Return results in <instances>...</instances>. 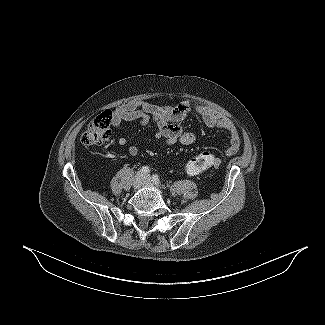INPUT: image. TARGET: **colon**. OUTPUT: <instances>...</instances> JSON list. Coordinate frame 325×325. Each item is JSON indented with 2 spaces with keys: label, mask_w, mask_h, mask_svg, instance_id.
<instances>
[{
  "label": "colon",
  "mask_w": 325,
  "mask_h": 325,
  "mask_svg": "<svg viewBox=\"0 0 325 325\" xmlns=\"http://www.w3.org/2000/svg\"><path fill=\"white\" fill-rule=\"evenodd\" d=\"M113 114L111 111H104L96 116L84 131L81 142L85 146H93L104 143L111 137V122ZM215 156L210 152H203L193 157L192 164L188 171L190 174H199L215 163Z\"/></svg>",
  "instance_id": "obj_1"
}]
</instances>
